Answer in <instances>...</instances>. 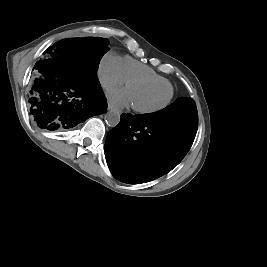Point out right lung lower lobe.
<instances>
[{"label": "right lung lower lobe", "mask_w": 267, "mask_h": 267, "mask_svg": "<svg viewBox=\"0 0 267 267\" xmlns=\"http://www.w3.org/2000/svg\"><path fill=\"white\" fill-rule=\"evenodd\" d=\"M46 52L49 58L34 67L29 93L28 107L34 123L45 130L63 131L104 113L107 102L97 77L85 74L67 52Z\"/></svg>", "instance_id": "right-lung-lower-lobe-1"}]
</instances>
